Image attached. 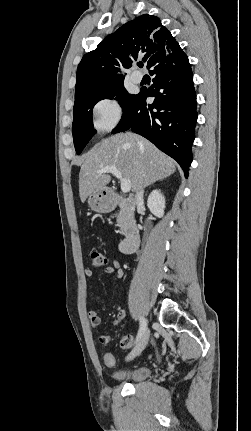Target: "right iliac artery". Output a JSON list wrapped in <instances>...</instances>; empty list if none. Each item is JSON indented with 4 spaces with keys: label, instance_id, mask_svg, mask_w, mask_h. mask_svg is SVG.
<instances>
[{
    "label": "right iliac artery",
    "instance_id": "82829eb1",
    "mask_svg": "<svg viewBox=\"0 0 251 431\" xmlns=\"http://www.w3.org/2000/svg\"><path fill=\"white\" fill-rule=\"evenodd\" d=\"M147 327V321L144 317H140V328L137 334V338L136 341H138V339L142 336V334L144 333V331L146 330Z\"/></svg>",
    "mask_w": 251,
    "mask_h": 431
}]
</instances>
